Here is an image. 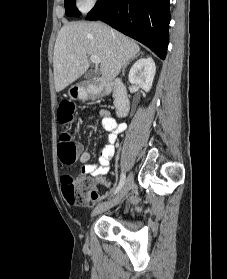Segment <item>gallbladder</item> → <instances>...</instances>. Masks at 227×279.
Segmentation results:
<instances>
[{
	"label": "gallbladder",
	"mask_w": 227,
	"mask_h": 279,
	"mask_svg": "<svg viewBox=\"0 0 227 279\" xmlns=\"http://www.w3.org/2000/svg\"><path fill=\"white\" fill-rule=\"evenodd\" d=\"M98 75V73L94 70H90L88 71L86 74H85V79L88 81V82H92L93 79Z\"/></svg>",
	"instance_id": "gallbladder-1"
}]
</instances>
